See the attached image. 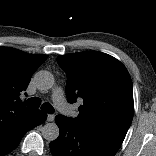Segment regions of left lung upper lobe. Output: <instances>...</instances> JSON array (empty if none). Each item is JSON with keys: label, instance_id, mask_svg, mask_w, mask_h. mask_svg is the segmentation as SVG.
Instances as JSON below:
<instances>
[{"label": "left lung upper lobe", "instance_id": "left-lung-upper-lobe-1", "mask_svg": "<svg viewBox=\"0 0 156 156\" xmlns=\"http://www.w3.org/2000/svg\"><path fill=\"white\" fill-rule=\"evenodd\" d=\"M57 62L67 74V101L83 99L73 123L123 142L134 113L132 81L125 66L98 51L61 55Z\"/></svg>", "mask_w": 156, "mask_h": 156}]
</instances>
